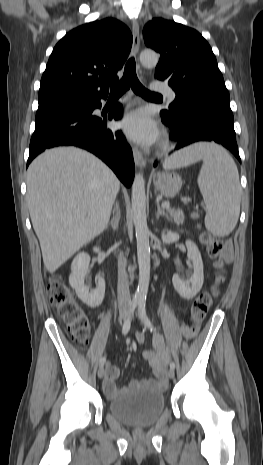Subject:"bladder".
Listing matches in <instances>:
<instances>
[{
    "label": "bladder",
    "mask_w": 263,
    "mask_h": 465,
    "mask_svg": "<svg viewBox=\"0 0 263 465\" xmlns=\"http://www.w3.org/2000/svg\"><path fill=\"white\" fill-rule=\"evenodd\" d=\"M164 409L163 393L150 388L123 392L108 403V412L113 418L136 428L153 426Z\"/></svg>",
    "instance_id": "obj_1"
}]
</instances>
